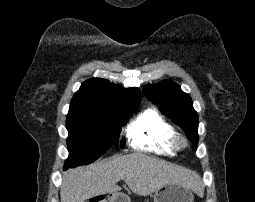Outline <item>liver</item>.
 <instances>
[{
  "instance_id": "6515ba94",
  "label": "liver",
  "mask_w": 255,
  "mask_h": 202,
  "mask_svg": "<svg viewBox=\"0 0 255 202\" xmlns=\"http://www.w3.org/2000/svg\"><path fill=\"white\" fill-rule=\"evenodd\" d=\"M120 180L140 196L150 195L169 183H178L194 191L201 188L200 177L195 172L133 153L68 171L61 185V202H85L95 196L120 191L117 185Z\"/></svg>"
}]
</instances>
